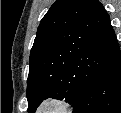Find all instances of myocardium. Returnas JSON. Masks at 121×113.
Returning a JSON list of instances; mask_svg holds the SVG:
<instances>
[{"instance_id":"obj_1","label":"myocardium","mask_w":121,"mask_h":113,"mask_svg":"<svg viewBox=\"0 0 121 113\" xmlns=\"http://www.w3.org/2000/svg\"><path fill=\"white\" fill-rule=\"evenodd\" d=\"M49 106L57 108L53 113H66L70 109V105L65 99L59 97H47L39 102L35 109L36 113H45L43 109Z\"/></svg>"}]
</instances>
